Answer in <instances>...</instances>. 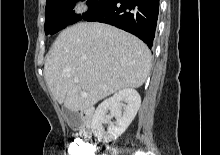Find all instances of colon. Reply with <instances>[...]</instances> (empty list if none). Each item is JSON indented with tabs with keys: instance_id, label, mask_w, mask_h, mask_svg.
Listing matches in <instances>:
<instances>
[{
	"instance_id": "1",
	"label": "colon",
	"mask_w": 220,
	"mask_h": 155,
	"mask_svg": "<svg viewBox=\"0 0 220 155\" xmlns=\"http://www.w3.org/2000/svg\"><path fill=\"white\" fill-rule=\"evenodd\" d=\"M93 149V143H81L79 139L69 143L70 155H94Z\"/></svg>"
}]
</instances>
